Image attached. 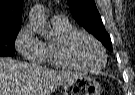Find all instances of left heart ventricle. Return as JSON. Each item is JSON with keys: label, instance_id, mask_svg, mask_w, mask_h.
<instances>
[{"label": "left heart ventricle", "instance_id": "b2bd125f", "mask_svg": "<svg viewBox=\"0 0 135 95\" xmlns=\"http://www.w3.org/2000/svg\"><path fill=\"white\" fill-rule=\"evenodd\" d=\"M70 55L76 62L87 67H98L103 62L101 51L96 44L83 36L74 41Z\"/></svg>", "mask_w": 135, "mask_h": 95}]
</instances>
